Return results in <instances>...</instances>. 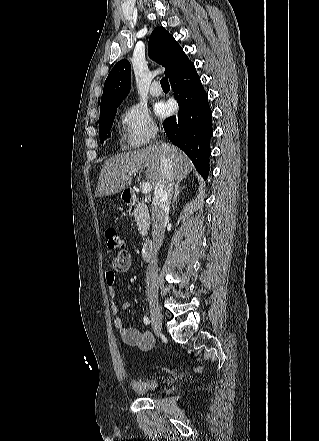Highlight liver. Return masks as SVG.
Masks as SVG:
<instances>
[{
    "mask_svg": "<svg viewBox=\"0 0 319 441\" xmlns=\"http://www.w3.org/2000/svg\"><path fill=\"white\" fill-rule=\"evenodd\" d=\"M171 146L167 156L172 159L173 179L177 182L183 180L194 166L190 159L177 147ZM161 146L149 145L143 149L121 153L106 160L100 171L95 196H109L119 193L132 183L131 169L146 168V179L154 190L161 179Z\"/></svg>",
    "mask_w": 319,
    "mask_h": 441,
    "instance_id": "6515ba94",
    "label": "liver"
}]
</instances>
